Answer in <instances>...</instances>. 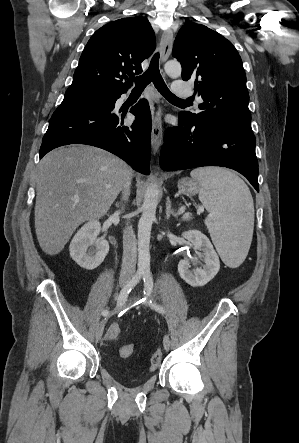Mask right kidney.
Masks as SVG:
<instances>
[{
    "label": "right kidney",
    "mask_w": 299,
    "mask_h": 443,
    "mask_svg": "<svg viewBox=\"0 0 299 443\" xmlns=\"http://www.w3.org/2000/svg\"><path fill=\"white\" fill-rule=\"evenodd\" d=\"M100 230V222L90 220L77 231L70 243L71 258L84 269L97 268L109 252L108 242L97 238Z\"/></svg>",
    "instance_id": "right-kidney-1"
}]
</instances>
